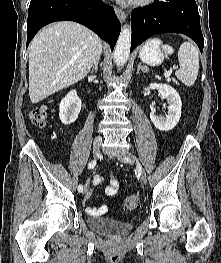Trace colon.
Listing matches in <instances>:
<instances>
[{"label": "colon", "mask_w": 221, "mask_h": 263, "mask_svg": "<svg viewBox=\"0 0 221 263\" xmlns=\"http://www.w3.org/2000/svg\"><path fill=\"white\" fill-rule=\"evenodd\" d=\"M31 120L36 126H44L47 118L46 108L41 106L37 107L31 112ZM139 206V197L137 195H130L123 201L124 210L131 211L135 210Z\"/></svg>", "instance_id": "obj_1"}]
</instances>
